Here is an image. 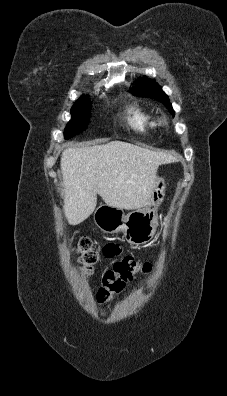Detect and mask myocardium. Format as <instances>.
Masks as SVG:
<instances>
[{
    "instance_id": "1",
    "label": "myocardium",
    "mask_w": 227,
    "mask_h": 396,
    "mask_svg": "<svg viewBox=\"0 0 227 396\" xmlns=\"http://www.w3.org/2000/svg\"><path fill=\"white\" fill-rule=\"evenodd\" d=\"M159 124L162 125V126H166L168 124L167 119L166 118H160Z\"/></svg>"
}]
</instances>
